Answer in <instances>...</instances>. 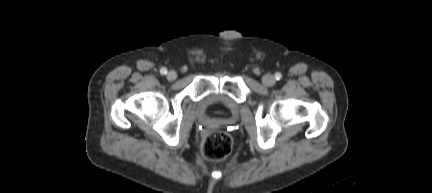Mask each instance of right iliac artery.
<instances>
[{
  "instance_id": "right-iliac-artery-1",
  "label": "right iliac artery",
  "mask_w": 432,
  "mask_h": 193,
  "mask_svg": "<svg viewBox=\"0 0 432 193\" xmlns=\"http://www.w3.org/2000/svg\"><path fill=\"white\" fill-rule=\"evenodd\" d=\"M160 73L162 74V75H165V74H167V69L166 68H161L160 69Z\"/></svg>"
}]
</instances>
